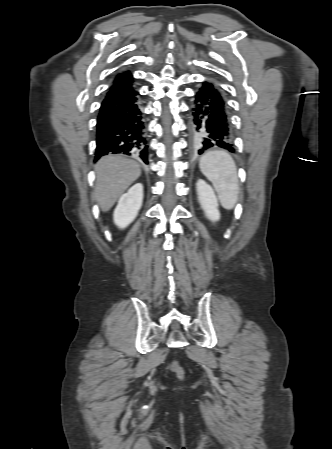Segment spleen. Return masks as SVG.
<instances>
[{
    "mask_svg": "<svg viewBox=\"0 0 332 449\" xmlns=\"http://www.w3.org/2000/svg\"><path fill=\"white\" fill-rule=\"evenodd\" d=\"M201 172L212 182L225 209H232L238 199L239 182L233 158L225 151H210L199 162Z\"/></svg>",
    "mask_w": 332,
    "mask_h": 449,
    "instance_id": "3e777b00",
    "label": "spleen"
}]
</instances>
